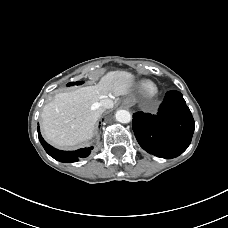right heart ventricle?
<instances>
[{
    "instance_id": "e07e8e85",
    "label": "right heart ventricle",
    "mask_w": 228,
    "mask_h": 228,
    "mask_svg": "<svg viewBox=\"0 0 228 228\" xmlns=\"http://www.w3.org/2000/svg\"><path fill=\"white\" fill-rule=\"evenodd\" d=\"M141 91L146 95H152L156 92L157 88L151 81H144L140 85Z\"/></svg>"
}]
</instances>
